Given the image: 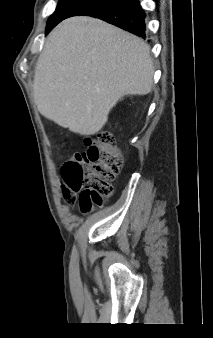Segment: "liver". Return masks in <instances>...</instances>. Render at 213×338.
<instances>
[{
  "label": "liver",
  "mask_w": 213,
  "mask_h": 338,
  "mask_svg": "<svg viewBox=\"0 0 213 338\" xmlns=\"http://www.w3.org/2000/svg\"><path fill=\"white\" fill-rule=\"evenodd\" d=\"M150 47L142 39L92 17L64 20L49 34L33 81L37 109L80 135H94L126 95L153 86Z\"/></svg>",
  "instance_id": "6515ba94"
}]
</instances>
